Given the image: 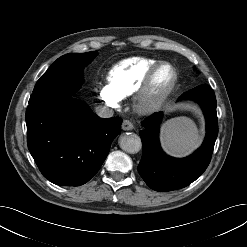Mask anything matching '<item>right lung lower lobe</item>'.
Here are the masks:
<instances>
[{"label":"right lung lower lobe","mask_w":247,"mask_h":247,"mask_svg":"<svg viewBox=\"0 0 247 247\" xmlns=\"http://www.w3.org/2000/svg\"><path fill=\"white\" fill-rule=\"evenodd\" d=\"M121 124L119 117H98L71 95L30 99L27 144L45 178L61 186H80L100 169Z\"/></svg>","instance_id":"right-lung-lower-lobe-1"}]
</instances>
